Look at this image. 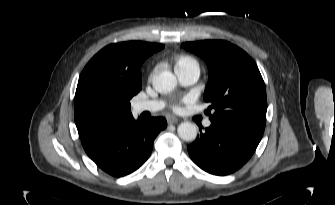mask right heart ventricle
I'll use <instances>...</instances> for the list:
<instances>
[{"label": "right heart ventricle", "mask_w": 335, "mask_h": 205, "mask_svg": "<svg viewBox=\"0 0 335 205\" xmlns=\"http://www.w3.org/2000/svg\"><path fill=\"white\" fill-rule=\"evenodd\" d=\"M190 66L199 67L196 59L188 55H182L178 57L175 63V69H181V68H186Z\"/></svg>", "instance_id": "e07e8e85"}]
</instances>
